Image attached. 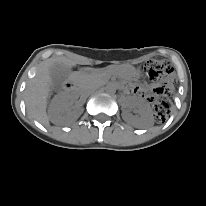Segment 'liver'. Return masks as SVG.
Instances as JSON below:
<instances>
[{"label": "liver", "instance_id": "liver-1", "mask_svg": "<svg viewBox=\"0 0 206 206\" xmlns=\"http://www.w3.org/2000/svg\"><path fill=\"white\" fill-rule=\"evenodd\" d=\"M60 63L67 66H74L76 62L66 57H51L42 62L35 74L29 80L25 90L26 110L30 117L38 120L42 124L49 123V116L46 109L48 99L52 91V80L50 76V68L55 64ZM81 115V111L68 112L65 115L56 114L51 120L56 125H68L75 121Z\"/></svg>", "mask_w": 206, "mask_h": 206}]
</instances>
